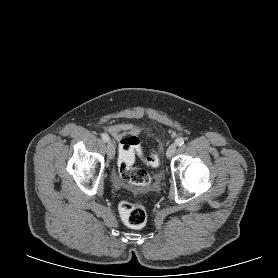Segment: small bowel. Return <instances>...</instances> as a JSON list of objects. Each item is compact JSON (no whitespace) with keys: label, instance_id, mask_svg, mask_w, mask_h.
Segmentation results:
<instances>
[{"label":"small bowel","instance_id":"obj_1","mask_svg":"<svg viewBox=\"0 0 278 278\" xmlns=\"http://www.w3.org/2000/svg\"><path fill=\"white\" fill-rule=\"evenodd\" d=\"M107 131L116 140H122L126 136L137 138L141 133L140 127L133 123L110 125Z\"/></svg>","mask_w":278,"mask_h":278}]
</instances>
